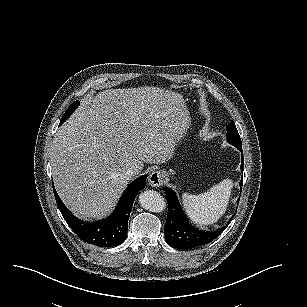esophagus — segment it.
<instances>
[{
    "label": "esophagus",
    "mask_w": 307,
    "mask_h": 307,
    "mask_svg": "<svg viewBox=\"0 0 307 307\" xmlns=\"http://www.w3.org/2000/svg\"><path fill=\"white\" fill-rule=\"evenodd\" d=\"M165 173L163 171H152L148 177V183L152 187H160L163 184Z\"/></svg>",
    "instance_id": "34e87169"
}]
</instances>
